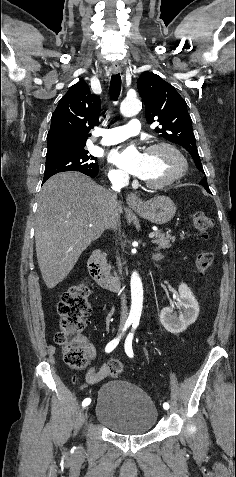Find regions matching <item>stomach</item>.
Here are the masks:
<instances>
[{
	"instance_id": "obj_1",
	"label": "stomach",
	"mask_w": 236,
	"mask_h": 477,
	"mask_svg": "<svg viewBox=\"0 0 236 477\" xmlns=\"http://www.w3.org/2000/svg\"><path fill=\"white\" fill-rule=\"evenodd\" d=\"M133 208L140 216L157 225L166 224L176 213L174 202L167 196H156Z\"/></svg>"
}]
</instances>
